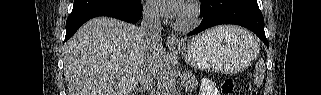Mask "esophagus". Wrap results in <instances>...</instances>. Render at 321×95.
Listing matches in <instances>:
<instances>
[{
    "label": "esophagus",
    "instance_id": "obj_1",
    "mask_svg": "<svg viewBox=\"0 0 321 95\" xmlns=\"http://www.w3.org/2000/svg\"><path fill=\"white\" fill-rule=\"evenodd\" d=\"M166 44L168 47H181L182 43L180 40L173 34L167 36Z\"/></svg>",
    "mask_w": 321,
    "mask_h": 95
}]
</instances>
